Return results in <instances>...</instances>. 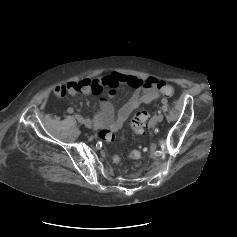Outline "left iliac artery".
I'll use <instances>...</instances> for the list:
<instances>
[{
    "mask_svg": "<svg viewBox=\"0 0 237 237\" xmlns=\"http://www.w3.org/2000/svg\"><path fill=\"white\" fill-rule=\"evenodd\" d=\"M161 102H162L163 104H167L168 100H167L166 98H163V99L161 100Z\"/></svg>",
    "mask_w": 237,
    "mask_h": 237,
    "instance_id": "left-iliac-artery-1",
    "label": "left iliac artery"
}]
</instances>
